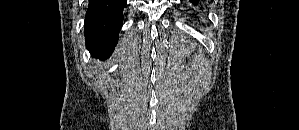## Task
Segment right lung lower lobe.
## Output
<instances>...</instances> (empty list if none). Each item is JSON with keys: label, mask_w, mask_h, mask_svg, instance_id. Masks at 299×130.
Segmentation results:
<instances>
[{"label": "right lung lower lobe", "mask_w": 299, "mask_h": 130, "mask_svg": "<svg viewBox=\"0 0 299 130\" xmlns=\"http://www.w3.org/2000/svg\"><path fill=\"white\" fill-rule=\"evenodd\" d=\"M127 0H90L85 22L86 48L109 57L118 41Z\"/></svg>", "instance_id": "right-lung-lower-lobe-1"}]
</instances>
